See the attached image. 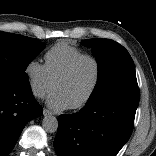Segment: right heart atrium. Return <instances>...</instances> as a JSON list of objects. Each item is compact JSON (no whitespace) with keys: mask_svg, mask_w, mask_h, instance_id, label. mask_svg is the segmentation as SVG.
Instances as JSON below:
<instances>
[{"mask_svg":"<svg viewBox=\"0 0 156 156\" xmlns=\"http://www.w3.org/2000/svg\"><path fill=\"white\" fill-rule=\"evenodd\" d=\"M24 74L29 89L36 98H44L54 87L45 65L35 59L26 64Z\"/></svg>","mask_w":156,"mask_h":156,"instance_id":"obj_1","label":"right heart atrium"}]
</instances>
